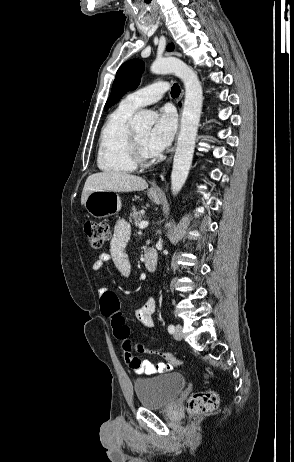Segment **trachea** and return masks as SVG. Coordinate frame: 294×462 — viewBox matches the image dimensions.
I'll return each mask as SVG.
<instances>
[{
    "label": "trachea",
    "instance_id": "trachea-1",
    "mask_svg": "<svg viewBox=\"0 0 294 462\" xmlns=\"http://www.w3.org/2000/svg\"><path fill=\"white\" fill-rule=\"evenodd\" d=\"M180 94V87L178 84H174L173 87H172V90H171V95L173 97H176Z\"/></svg>",
    "mask_w": 294,
    "mask_h": 462
}]
</instances>
